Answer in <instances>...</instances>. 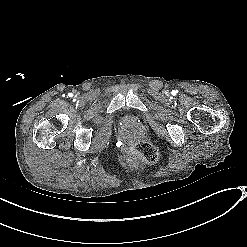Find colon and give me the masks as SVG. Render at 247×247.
<instances>
[{
    "label": "colon",
    "mask_w": 247,
    "mask_h": 247,
    "mask_svg": "<svg viewBox=\"0 0 247 247\" xmlns=\"http://www.w3.org/2000/svg\"><path fill=\"white\" fill-rule=\"evenodd\" d=\"M135 153L126 155L127 165L154 164L158 161L156 147L148 141H140L136 144Z\"/></svg>",
    "instance_id": "obj_1"
}]
</instances>
